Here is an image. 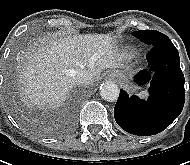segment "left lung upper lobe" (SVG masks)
Instances as JSON below:
<instances>
[{
  "mask_svg": "<svg viewBox=\"0 0 190 165\" xmlns=\"http://www.w3.org/2000/svg\"><path fill=\"white\" fill-rule=\"evenodd\" d=\"M133 35L151 47L169 39L166 35L156 30H141L133 32Z\"/></svg>",
  "mask_w": 190,
  "mask_h": 165,
  "instance_id": "obj_1",
  "label": "left lung upper lobe"
}]
</instances>
